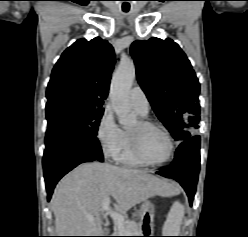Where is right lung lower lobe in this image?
<instances>
[{
  "label": "right lung lower lobe",
  "mask_w": 248,
  "mask_h": 237,
  "mask_svg": "<svg viewBox=\"0 0 248 237\" xmlns=\"http://www.w3.org/2000/svg\"><path fill=\"white\" fill-rule=\"evenodd\" d=\"M43 170L48 201L56 183L83 162L103 161L102 149L95 136L62 131L46 132Z\"/></svg>",
  "instance_id": "98d812e1"
}]
</instances>
